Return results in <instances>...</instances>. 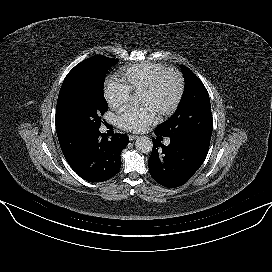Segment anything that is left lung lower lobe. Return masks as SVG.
Segmentation results:
<instances>
[{"label":"left lung lower lobe","instance_id":"0a47b994","mask_svg":"<svg viewBox=\"0 0 272 272\" xmlns=\"http://www.w3.org/2000/svg\"><path fill=\"white\" fill-rule=\"evenodd\" d=\"M153 149L148 160L149 172L160 185L175 188L185 184L204 162L210 141L190 137H170L165 146L163 135L155 130ZM166 137V136H164Z\"/></svg>","mask_w":272,"mask_h":272}]
</instances>
